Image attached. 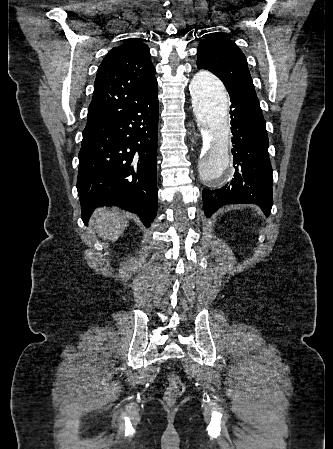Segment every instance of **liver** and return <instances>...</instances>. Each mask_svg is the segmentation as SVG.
I'll return each mask as SVG.
<instances>
[{
    "instance_id": "6515ba94",
    "label": "liver",
    "mask_w": 333,
    "mask_h": 449,
    "mask_svg": "<svg viewBox=\"0 0 333 449\" xmlns=\"http://www.w3.org/2000/svg\"><path fill=\"white\" fill-rule=\"evenodd\" d=\"M91 225L104 239L114 242L125 231L128 221L117 208H100L91 218Z\"/></svg>"
}]
</instances>
